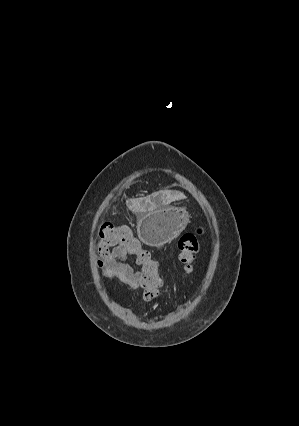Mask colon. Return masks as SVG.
Returning a JSON list of instances; mask_svg holds the SVG:
<instances>
[{
    "mask_svg": "<svg viewBox=\"0 0 299 426\" xmlns=\"http://www.w3.org/2000/svg\"><path fill=\"white\" fill-rule=\"evenodd\" d=\"M201 233L195 232L183 234L178 242V259L187 273H192L194 262L201 247ZM97 252L101 261L110 253L111 249L123 248L142 267L140 292L145 301L154 302L161 298L162 279L159 274V263L154 259L152 252L145 248L141 241L126 226H116L113 223H103L99 230Z\"/></svg>",
    "mask_w": 299,
    "mask_h": 426,
    "instance_id": "colon-1",
    "label": "colon"
}]
</instances>
